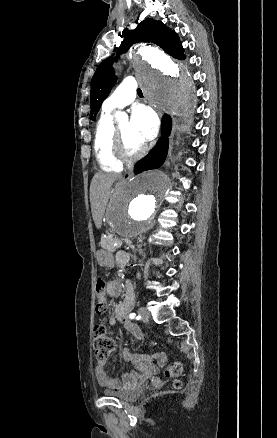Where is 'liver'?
Instances as JSON below:
<instances>
[{"label":"liver","mask_w":277,"mask_h":438,"mask_svg":"<svg viewBox=\"0 0 277 438\" xmlns=\"http://www.w3.org/2000/svg\"><path fill=\"white\" fill-rule=\"evenodd\" d=\"M120 178L119 174H103L97 172L90 186V204L94 224L98 230L102 226V220L110 198V188Z\"/></svg>","instance_id":"1"}]
</instances>
